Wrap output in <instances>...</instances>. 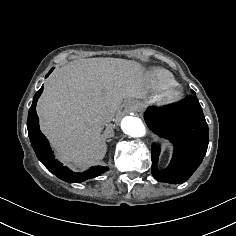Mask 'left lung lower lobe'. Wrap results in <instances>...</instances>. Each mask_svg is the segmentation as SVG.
<instances>
[{"label": "left lung lower lobe", "instance_id": "left-lung-lower-lobe-1", "mask_svg": "<svg viewBox=\"0 0 236 236\" xmlns=\"http://www.w3.org/2000/svg\"><path fill=\"white\" fill-rule=\"evenodd\" d=\"M179 103L164 107H149L144 118L148 127L174 146L173 157L167 168L157 167L160 146L152 144L153 176L160 182L179 184L187 181L199 167L206 154L208 125L196 93Z\"/></svg>", "mask_w": 236, "mask_h": 236}]
</instances>
